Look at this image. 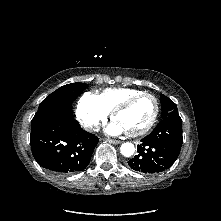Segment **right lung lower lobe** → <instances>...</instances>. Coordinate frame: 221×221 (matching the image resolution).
Segmentation results:
<instances>
[{"label":"right lung lower lobe","mask_w":221,"mask_h":221,"mask_svg":"<svg viewBox=\"0 0 221 221\" xmlns=\"http://www.w3.org/2000/svg\"><path fill=\"white\" fill-rule=\"evenodd\" d=\"M30 140L37 163L60 174L84 170L99 141L73 118L72 105L51 110L33 121Z\"/></svg>","instance_id":"right-lung-lower-lobe-1"}]
</instances>
